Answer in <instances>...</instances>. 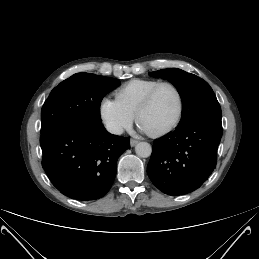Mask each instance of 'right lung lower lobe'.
<instances>
[{
    "label": "right lung lower lobe",
    "mask_w": 259,
    "mask_h": 259,
    "mask_svg": "<svg viewBox=\"0 0 259 259\" xmlns=\"http://www.w3.org/2000/svg\"><path fill=\"white\" fill-rule=\"evenodd\" d=\"M42 167L65 196L94 201L111 188L117 159L129 138L110 134L102 124L63 123L41 131Z\"/></svg>",
    "instance_id": "obj_1"
}]
</instances>
